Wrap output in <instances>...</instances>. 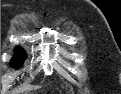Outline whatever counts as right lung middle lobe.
<instances>
[{"instance_id":"1","label":"right lung middle lobe","mask_w":121,"mask_h":94,"mask_svg":"<svg viewBox=\"0 0 121 94\" xmlns=\"http://www.w3.org/2000/svg\"><path fill=\"white\" fill-rule=\"evenodd\" d=\"M18 53L13 57L11 60V64L15 67H17V64L21 65L23 63L24 58L26 57V54L22 50H17Z\"/></svg>"}]
</instances>
